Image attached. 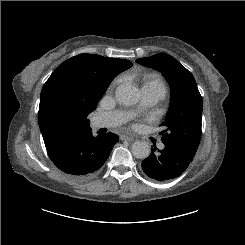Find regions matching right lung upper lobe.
I'll return each mask as SVG.
<instances>
[{
  "instance_id": "1",
  "label": "right lung upper lobe",
  "mask_w": 245,
  "mask_h": 245,
  "mask_svg": "<svg viewBox=\"0 0 245 245\" xmlns=\"http://www.w3.org/2000/svg\"><path fill=\"white\" fill-rule=\"evenodd\" d=\"M132 63L124 59L80 54L60 64L44 84L38 112L39 127L49 157L88 131V115L112 79Z\"/></svg>"
}]
</instances>
